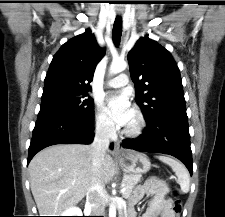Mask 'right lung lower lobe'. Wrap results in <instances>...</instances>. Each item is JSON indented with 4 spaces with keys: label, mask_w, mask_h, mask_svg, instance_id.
<instances>
[{
    "label": "right lung lower lobe",
    "mask_w": 225,
    "mask_h": 217,
    "mask_svg": "<svg viewBox=\"0 0 225 217\" xmlns=\"http://www.w3.org/2000/svg\"><path fill=\"white\" fill-rule=\"evenodd\" d=\"M93 138V112L79 117L57 111H40L29 146L27 164L36 153L48 146L90 144Z\"/></svg>",
    "instance_id": "obj_1"
}]
</instances>
